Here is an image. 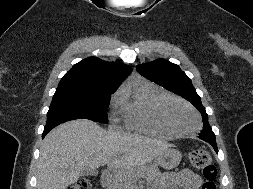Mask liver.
I'll use <instances>...</instances> for the list:
<instances>
[{
  "label": "liver",
  "mask_w": 253,
  "mask_h": 189,
  "mask_svg": "<svg viewBox=\"0 0 253 189\" xmlns=\"http://www.w3.org/2000/svg\"><path fill=\"white\" fill-rule=\"evenodd\" d=\"M171 145L138 134L106 131L97 123L78 119L53 129L43 140L37 165V189H66L84 168L110 165L126 176L125 189L146 175L152 162Z\"/></svg>",
  "instance_id": "liver-1"
}]
</instances>
